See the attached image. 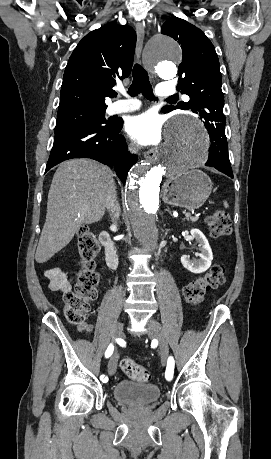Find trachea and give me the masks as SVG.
<instances>
[{
  "mask_svg": "<svg viewBox=\"0 0 271 459\" xmlns=\"http://www.w3.org/2000/svg\"><path fill=\"white\" fill-rule=\"evenodd\" d=\"M133 81L128 89V94L132 97H136L139 93H142L148 100H157L154 96L152 85L149 82L148 73L139 63H135L132 70Z\"/></svg>",
  "mask_w": 271,
  "mask_h": 459,
  "instance_id": "trachea-1",
  "label": "trachea"
}]
</instances>
